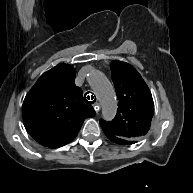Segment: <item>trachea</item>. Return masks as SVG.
Masks as SVG:
<instances>
[{"mask_svg":"<svg viewBox=\"0 0 193 193\" xmlns=\"http://www.w3.org/2000/svg\"><path fill=\"white\" fill-rule=\"evenodd\" d=\"M89 93H92V92H87V93H85V97H84V99H85V102L87 103V104H94V102L96 101V98H94L95 96H93V95H87V94H89ZM86 95H87V97H86ZM94 99V100H93ZM89 100V101H88Z\"/></svg>","mask_w":193,"mask_h":193,"instance_id":"3493384b","label":"trachea"}]
</instances>
